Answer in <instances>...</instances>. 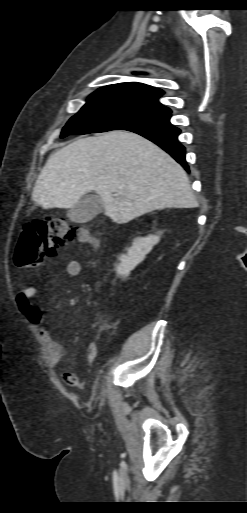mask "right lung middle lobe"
Segmentation results:
<instances>
[{"instance_id":"obj_1","label":"right lung middle lobe","mask_w":247,"mask_h":513,"mask_svg":"<svg viewBox=\"0 0 247 513\" xmlns=\"http://www.w3.org/2000/svg\"><path fill=\"white\" fill-rule=\"evenodd\" d=\"M171 113L164 106L150 104L134 94L98 89L73 116L61 132V138L71 134H88L121 129L124 126Z\"/></svg>"}]
</instances>
